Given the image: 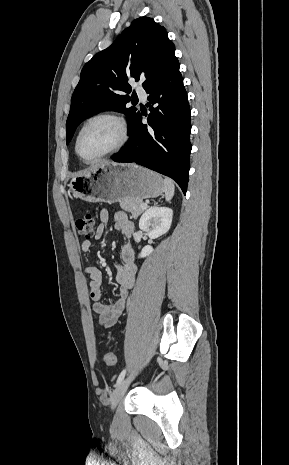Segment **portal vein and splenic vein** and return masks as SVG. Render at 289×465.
Here are the masks:
<instances>
[{
  "instance_id": "18ae733b",
  "label": "portal vein and splenic vein",
  "mask_w": 289,
  "mask_h": 465,
  "mask_svg": "<svg viewBox=\"0 0 289 465\" xmlns=\"http://www.w3.org/2000/svg\"><path fill=\"white\" fill-rule=\"evenodd\" d=\"M142 207H143V208H146V207H147V204H146V203H143V204H142Z\"/></svg>"
}]
</instances>
